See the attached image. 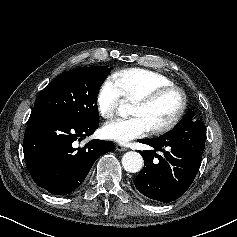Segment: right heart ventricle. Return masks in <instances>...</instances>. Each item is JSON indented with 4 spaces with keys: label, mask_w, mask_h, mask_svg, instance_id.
<instances>
[{
    "label": "right heart ventricle",
    "mask_w": 237,
    "mask_h": 237,
    "mask_svg": "<svg viewBox=\"0 0 237 237\" xmlns=\"http://www.w3.org/2000/svg\"><path fill=\"white\" fill-rule=\"evenodd\" d=\"M113 79L127 101H135L155 88L173 85L167 76L141 68L120 70L113 75Z\"/></svg>",
    "instance_id": "1"
}]
</instances>
